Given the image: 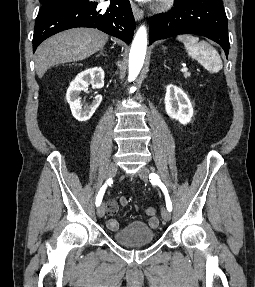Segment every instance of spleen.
Wrapping results in <instances>:
<instances>
[{"mask_svg":"<svg viewBox=\"0 0 255 287\" xmlns=\"http://www.w3.org/2000/svg\"><path fill=\"white\" fill-rule=\"evenodd\" d=\"M177 40H179V42H183L185 50H187L191 58L198 60V62L202 60L203 66H209V68L214 70V72L221 70L222 60L212 46H209L206 42L197 44L198 38L189 36V34H185V36H177Z\"/></svg>","mask_w":255,"mask_h":287,"instance_id":"3e777b00","label":"spleen"}]
</instances>
